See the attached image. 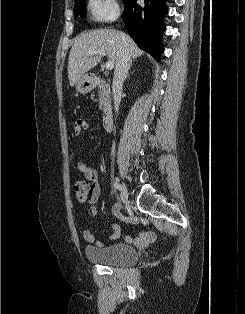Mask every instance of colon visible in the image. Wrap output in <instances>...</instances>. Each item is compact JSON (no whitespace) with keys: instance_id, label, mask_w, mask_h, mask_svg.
I'll list each match as a JSON object with an SVG mask.
<instances>
[{"instance_id":"obj_1","label":"colon","mask_w":245,"mask_h":314,"mask_svg":"<svg viewBox=\"0 0 245 314\" xmlns=\"http://www.w3.org/2000/svg\"><path fill=\"white\" fill-rule=\"evenodd\" d=\"M73 192L79 201H87L91 195V185L88 180H80L74 183Z\"/></svg>"}]
</instances>
